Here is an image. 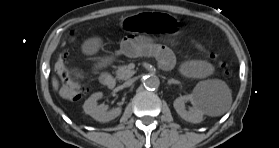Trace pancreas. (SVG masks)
<instances>
[{
    "label": "pancreas",
    "instance_id": "pancreas-1",
    "mask_svg": "<svg viewBox=\"0 0 279 148\" xmlns=\"http://www.w3.org/2000/svg\"><path fill=\"white\" fill-rule=\"evenodd\" d=\"M135 74V71L130 69L127 65L119 66L116 71V77L119 80H127Z\"/></svg>",
    "mask_w": 279,
    "mask_h": 148
}]
</instances>
